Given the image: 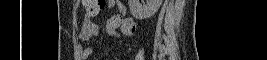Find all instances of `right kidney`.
Here are the masks:
<instances>
[{
  "label": "right kidney",
  "instance_id": "1",
  "mask_svg": "<svg viewBox=\"0 0 267 60\" xmlns=\"http://www.w3.org/2000/svg\"><path fill=\"white\" fill-rule=\"evenodd\" d=\"M144 2V0H141ZM130 12L138 20L147 19L153 16L162 4V0H146V5L141 4L140 0H129Z\"/></svg>",
  "mask_w": 267,
  "mask_h": 60
}]
</instances>
